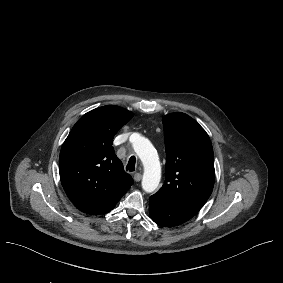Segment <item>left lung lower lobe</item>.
<instances>
[{"instance_id":"1","label":"left lung lower lobe","mask_w":283,"mask_h":283,"mask_svg":"<svg viewBox=\"0 0 283 283\" xmlns=\"http://www.w3.org/2000/svg\"><path fill=\"white\" fill-rule=\"evenodd\" d=\"M200 208L173 202L160 195L150 197V215L152 220L165 227L177 226L192 218Z\"/></svg>"}]
</instances>
